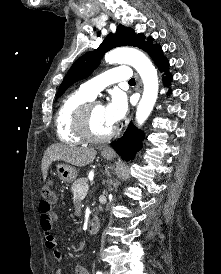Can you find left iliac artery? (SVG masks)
Here are the masks:
<instances>
[{"instance_id": "left-iliac-artery-1", "label": "left iliac artery", "mask_w": 221, "mask_h": 274, "mask_svg": "<svg viewBox=\"0 0 221 274\" xmlns=\"http://www.w3.org/2000/svg\"><path fill=\"white\" fill-rule=\"evenodd\" d=\"M96 274H103L101 271H97V273Z\"/></svg>"}]
</instances>
